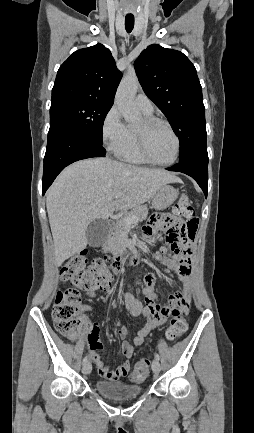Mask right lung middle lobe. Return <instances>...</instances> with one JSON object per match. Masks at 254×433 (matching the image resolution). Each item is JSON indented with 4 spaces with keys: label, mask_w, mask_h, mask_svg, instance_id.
Returning a JSON list of instances; mask_svg holds the SVG:
<instances>
[{
    "label": "right lung middle lobe",
    "mask_w": 254,
    "mask_h": 433,
    "mask_svg": "<svg viewBox=\"0 0 254 433\" xmlns=\"http://www.w3.org/2000/svg\"><path fill=\"white\" fill-rule=\"evenodd\" d=\"M112 105L96 101L67 100L52 104L50 128L64 126L102 145L104 119Z\"/></svg>",
    "instance_id": "dd1d6c3e"
}]
</instances>
